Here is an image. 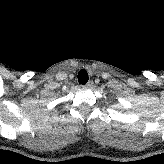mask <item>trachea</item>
<instances>
[{"label": "trachea", "instance_id": "trachea-1", "mask_svg": "<svg viewBox=\"0 0 164 164\" xmlns=\"http://www.w3.org/2000/svg\"><path fill=\"white\" fill-rule=\"evenodd\" d=\"M88 73L86 70L82 69L78 73V82L79 84H86L88 82Z\"/></svg>", "mask_w": 164, "mask_h": 164}]
</instances>
